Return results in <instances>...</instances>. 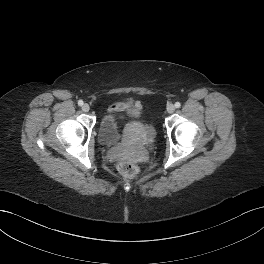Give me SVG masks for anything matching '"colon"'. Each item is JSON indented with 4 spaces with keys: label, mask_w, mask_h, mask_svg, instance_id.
Instances as JSON below:
<instances>
[{
    "label": "colon",
    "mask_w": 264,
    "mask_h": 264,
    "mask_svg": "<svg viewBox=\"0 0 264 264\" xmlns=\"http://www.w3.org/2000/svg\"><path fill=\"white\" fill-rule=\"evenodd\" d=\"M118 171L127 178H134L138 174V168L128 161H121L117 165Z\"/></svg>",
    "instance_id": "5ec220e1"
}]
</instances>
